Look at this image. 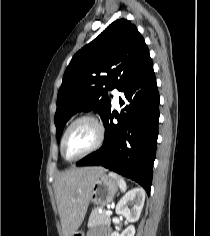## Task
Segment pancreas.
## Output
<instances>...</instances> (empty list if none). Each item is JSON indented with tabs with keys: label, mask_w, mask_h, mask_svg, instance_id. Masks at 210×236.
<instances>
[{
	"label": "pancreas",
	"mask_w": 210,
	"mask_h": 236,
	"mask_svg": "<svg viewBox=\"0 0 210 236\" xmlns=\"http://www.w3.org/2000/svg\"><path fill=\"white\" fill-rule=\"evenodd\" d=\"M110 215L106 214V210L102 213L99 212V207L94 208L90 214L88 220V227H94L96 225H110Z\"/></svg>",
	"instance_id": "1"
}]
</instances>
